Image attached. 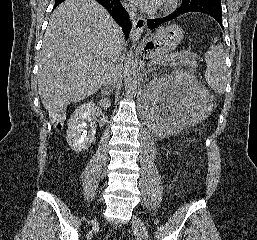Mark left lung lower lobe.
<instances>
[{
    "instance_id": "left-lung-lower-lobe-1",
    "label": "left lung lower lobe",
    "mask_w": 257,
    "mask_h": 240,
    "mask_svg": "<svg viewBox=\"0 0 257 240\" xmlns=\"http://www.w3.org/2000/svg\"><path fill=\"white\" fill-rule=\"evenodd\" d=\"M190 12H200V13L207 14L212 18H214L220 24V26H222V8H221L220 2H208V3L199 4L195 6L185 5L182 3L181 6L176 9V11L172 12L171 14L165 17L157 18V19H148L147 25L150 29H154L165 22H168L183 14L190 13Z\"/></svg>"
}]
</instances>
